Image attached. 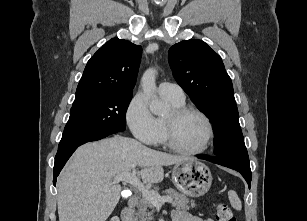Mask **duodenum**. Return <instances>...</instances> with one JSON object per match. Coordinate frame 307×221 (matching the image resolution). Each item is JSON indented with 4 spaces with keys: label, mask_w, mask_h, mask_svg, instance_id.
<instances>
[{
    "label": "duodenum",
    "mask_w": 307,
    "mask_h": 221,
    "mask_svg": "<svg viewBox=\"0 0 307 221\" xmlns=\"http://www.w3.org/2000/svg\"><path fill=\"white\" fill-rule=\"evenodd\" d=\"M137 203H138V199H137L136 196H133V197H131L130 199L127 200L126 205L123 208L122 213H121V221H130L131 220L132 212L135 209Z\"/></svg>",
    "instance_id": "410a0bca"
}]
</instances>
